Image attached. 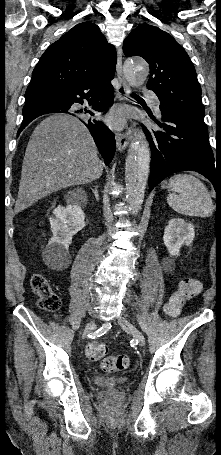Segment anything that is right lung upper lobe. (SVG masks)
Masks as SVG:
<instances>
[{
	"instance_id": "1",
	"label": "right lung upper lobe",
	"mask_w": 221,
	"mask_h": 455,
	"mask_svg": "<svg viewBox=\"0 0 221 455\" xmlns=\"http://www.w3.org/2000/svg\"><path fill=\"white\" fill-rule=\"evenodd\" d=\"M115 47L91 22L74 26L41 56L25 93V101L50 97L66 86L99 74L113 78Z\"/></svg>"
}]
</instances>
